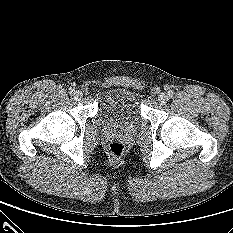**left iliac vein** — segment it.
Masks as SVG:
<instances>
[{"instance_id":"4c4485c4","label":"left iliac vein","mask_w":233,"mask_h":233,"mask_svg":"<svg viewBox=\"0 0 233 233\" xmlns=\"http://www.w3.org/2000/svg\"><path fill=\"white\" fill-rule=\"evenodd\" d=\"M158 101L161 103V104H165L167 103L168 101V96L165 94V93H161L158 97Z\"/></svg>"}]
</instances>
